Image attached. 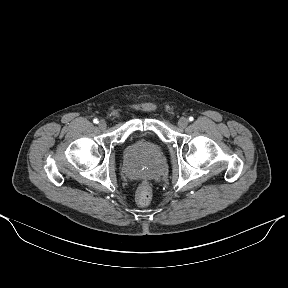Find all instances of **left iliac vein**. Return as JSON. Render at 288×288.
Returning a JSON list of instances; mask_svg holds the SVG:
<instances>
[{
	"mask_svg": "<svg viewBox=\"0 0 288 288\" xmlns=\"http://www.w3.org/2000/svg\"><path fill=\"white\" fill-rule=\"evenodd\" d=\"M188 119L187 118H185V117H181L180 119H179V121H178V126L180 127V128H186V126L188 125Z\"/></svg>",
	"mask_w": 288,
	"mask_h": 288,
	"instance_id": "4c4485c4",
	"label": "left iliac vein"
}]
</instances>
